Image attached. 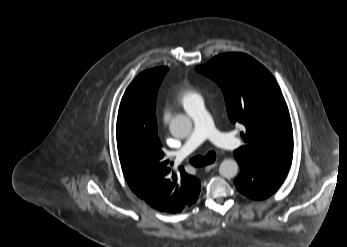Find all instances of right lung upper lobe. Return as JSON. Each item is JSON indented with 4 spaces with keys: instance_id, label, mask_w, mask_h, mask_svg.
Masks as SVG:
<instances>
[{
    "instance_id": "right-lung-upper-lobe-1",
    "label": "right lung upper lobe",
    "mask_w": 347,
    "mask_h": 247,
    "mask_svg": "<svg viewBox=\"0 0 347 247\" xmlns=\"http://www.w3.org/2000/svg\"><path fill=\"white\" fill-rule=\"evenodd\" d=\"M153 99V82L139 74L125 91L118 111L119 159L137 196L161 212L178 213L197 200L201 184L183 167L171 173L158 137Z\"/></svg>"
}]
</instances>
